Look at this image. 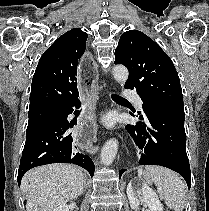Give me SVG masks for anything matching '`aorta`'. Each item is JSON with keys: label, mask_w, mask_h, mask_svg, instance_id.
Wrapping results in <instances>:
<instances>
[{"label": "aorta", "mask_w": 209, "mask_h": 211, "mask_svg": "<svg viewBox=\"0 0 209 211\" xmlns=\"http://www.w3.org/2000/svg\"><path fill=\"white\" fill-rule=\"evenodd\" d=\"M128 69L123 65H117L113 69V76L115 80L124 84L128 79ZM118 150V141L116 139L108 140L101 150V162L108 166L112 164Z\"/></svg>", "instance_id": "obj_1"}]
</instances>
